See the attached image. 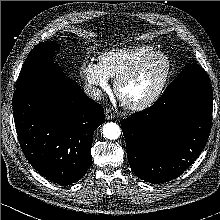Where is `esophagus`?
<instances>
[{"label":"esophagus","mask_w":220,"mask_h":220,"mask_svg":"<svg viewBox=\"0 0 220 220\" xmlns=\"http://www.w3.org/2000/svg\"><path fill=\"white\" fill-rule=\"evenodd\" d=\"M105 117L107 120H112L115 118V114L110 108H106L105 109Z\"/></svg>","instance_id":"esophagus-1"}]
</instances>
